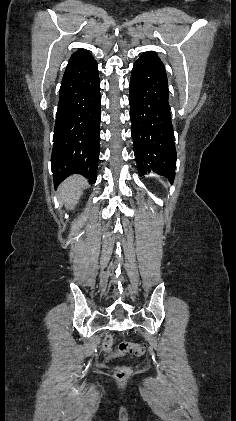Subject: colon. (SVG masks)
I'll return each instance as SVG.
<instances>
[{
	"label": "colon",
	"mask_w": 236,
	"mask_h": 421,
	"mask_svg": "<svg viewBox=\"0 0 236 421\" xmlns=\"http://www.w3.org/2000/svg\"><path fill=\"white\" fill-rule=\"evenodd\" d=\"M103 350L105 357L110 360L118 356L126 354L134 356H142L146 352V345L138 342H122L117 349L113 348L112 337L106 336L103 342ZM131 374V369L127 366H117L115 368V376L119 379L126 378Z\"/></svg>",
	"instance_id": "colon-1"
}]
</instances>
